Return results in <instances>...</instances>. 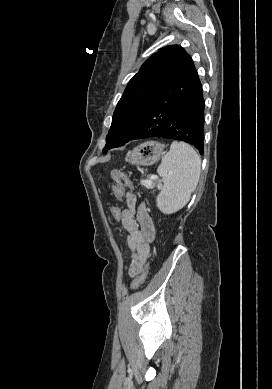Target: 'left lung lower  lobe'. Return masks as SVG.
I'll list each match as a JSON object with an SVG mask.
<instances>
[{"mask_svg":"<svg viewBox=\"0 0 272 389\" xmlns=\"http://www.w3.org/2000/svg\"><path fill=\"white\" fill-rule=\"evenodd\" d=\"M202 93L197 71L191 61L153 99L145 117L127 142L163 137L190 143L203 154L205 101Z\"/></svg>","mask_w":272,"mask_h":389,"instance_id":"obj_1","label":"left lung lower lobe"}]
</instances>
